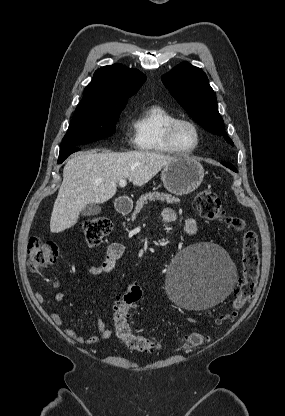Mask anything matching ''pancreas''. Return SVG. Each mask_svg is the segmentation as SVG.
<instances>
[{
  "instance_id": "obj_1",
  "label": "pancreas",
  "mask_w": 285,
  "mask_h": 416,
  "mask_svg": "<svg viewBox=\"0 0 285 416\" xmlns=\"http://www.w3.org/2000/svg\"><path fill=\"white\" fill-rule=\"evenodd\" d=\"M147 200H151V202H155V200H159V202H164L166 200L167 204H174V202H180L179 198H174L171 194H163V192H149V194H144V196H140L139 200L136 202L135 210L132 214V220L134 222L137 214H139L140 210H142L144 204H148Z\"/></svg>"
}]
</instances>
